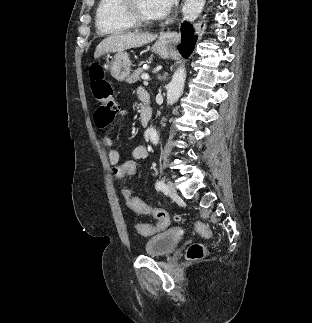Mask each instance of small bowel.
I'll use <instances>...</instances> for the list:
<instances>
[{"label":"small bowel","mask_w":312,"mask_h":323,"mask_svg":"<svg viewBox=\"0 0 312 323\" xmlns=\"http://www.w3.org/2000/svg\"><path fill=\"white\" fill-rule=\"evenodd\" d=\"M144 95L145 94L142 95V98L144 97ZM127 114H128V110L126 108H121L118 111L119 117H123ZM101 142L104 147L108 148L107 157H108L109 164L113 168H115L116 164H121L120 153L116 149L113 148L112 139L108 136H104L102 138ZM131 154H132L133 158H137L138 160H143V159H148L151 155V152L148 147H146L144 145H138L135 148H133ZM121 194H124V192H121ZM138 199H140V198H138ZM127 207L131 210L130 206H127Z\"/></svg>","instance_id":"obj_1"}]
</instances>
